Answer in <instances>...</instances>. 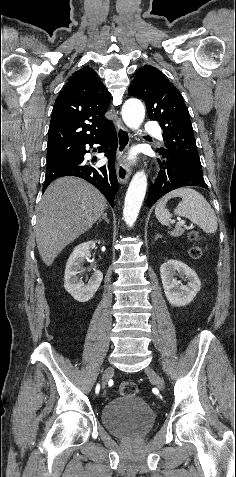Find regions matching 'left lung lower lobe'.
Instances as JSON below:
<instances>
[{
    "mask_svg": "<svg viewBox=\"0 0 236 477\" xmlns=\"http://www.w3.org/2000/svg\"><path fill=\"white\" fill-rule=\"evenodd\" d=\"M160 171L157 178L150 184L148 203L151 207L166 193L183 187L198 186L208 189L203 174L189 164L160 154Z\"/></svg>",
    "mask_w": 236,
    "mask_h": 477,
    "instance_id": "left-lung-lower-lobe-1",
    "label": "left lung lower lobe"
}]
</instances>
